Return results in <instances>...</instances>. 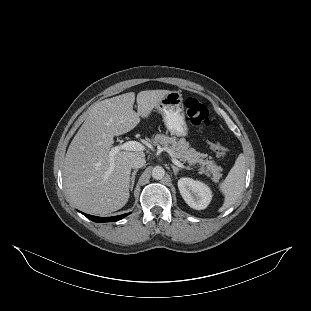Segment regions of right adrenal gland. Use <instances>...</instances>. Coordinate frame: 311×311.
Listing matches in <instances>:
<instances>
[{"mask_svg":"<svg viewBox=\"0 0 311 311\" xmlns=\"http://www.w3.org/2000/svg\"><path fill=\"white\" fill-rule=\"evenodd\" d=\"M137 172H138V169L134 170V172L131 174V177H130L131 192L133 191V188H134L135 176Z\"/></svg>","mask_w":311,"mask_h":311,"instance_id":"right-adrenal-gland-1","label":"right adrenal gland"}]
</instances>
